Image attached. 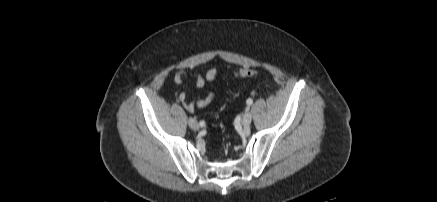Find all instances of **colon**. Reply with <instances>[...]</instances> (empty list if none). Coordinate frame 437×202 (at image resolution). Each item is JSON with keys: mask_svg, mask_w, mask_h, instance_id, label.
Listing matches in <instances>:
<instances>
[{"mask_svg": "<svg viewBox=\"0 0 437 202\" xmlns=\"http://www.w3.org/2000/svg\"><path fill=\"white\" fill-rule=\"evenodd\" d=\"M257 75V71L255 69H251V68H245V69H241L240 71H238L235 74L236 78H248V77H253Z\"/></svg>", "mask_w": 437, "mask_h": 202, "instance_id": "5ec220e1", "label": "colon"}]
</instances>
